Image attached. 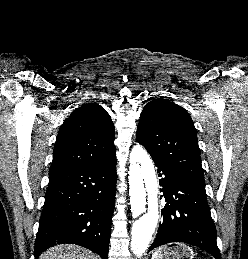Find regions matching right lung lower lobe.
<instances>
[{
	"instance_id": "right-lung-lower-lobe-1",
	"label": "right lung lower lobe",
	"mask_w": 248,
	"mask_h": 259,
	"mask_svg": "<svg viewBox=\"0 0 248 259\" xmlns=\"http://www.w3.org/2000/svg\"><path fill=\"white\" fill-rule=\"evenodd\" d=\"M115 191L116 154L97 164L49 174L35 259L61 243L83 246L108 259Z\"/></svg>"
}]
</instances>
